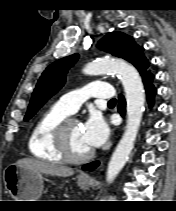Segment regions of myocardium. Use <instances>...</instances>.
<instances>
[{"label": "myocardium", "mask_w": 176, "mask_h": 211, "mask_svg": "<svg viewBox=\"0 0 176 211\" xmlns=\"http://www.w3.org/2000/svg\"><path fill=\"white\" fill-rule=\"evenodd\" d=\"M73 121L77 120L71 117H66L56 126L54 130V143L64 161L81 163L90 159L93 156L94 151L91 149L88 152L79 155L72 152L69 145L67 130L69 124Z\"/></svg>", "instance_id": "f54148a6"}]
</instances>
